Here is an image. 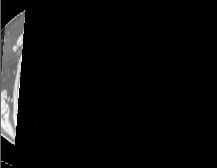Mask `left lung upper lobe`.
I'll list each match as a JSON object with an SVG mask.
<instances>
[{
	"instance_id": "5c2ea615",
	"label": "left lung upper lobe",
	"mask_w": 217,
	"mask_h": 168,
	"mask_svg": "<svg viewBox=\"0 0 217 168\" xmlns=\"http://www.w3.org/2000/svg\"><path fill=\"white\" fill-rule=\"evenodd\" d=\"M149 61L140 89L146 100L179 105L183 98V57L174 36L165 28L146 24Z\"/></svg>"
}]
</instances>
